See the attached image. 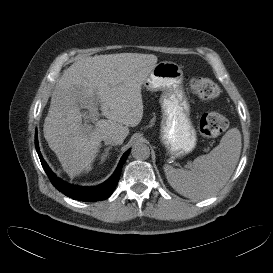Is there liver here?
I'll use <instances>...</instances> for the list:
<instances>
[{
    "mask_svg": "<svg viewBox=\"0 0 273 273\" xmlns=\"http://www.w3.org/2000/svg\"><path fill=\"white\" fill-rule=\"evenodd\" d=\"M157 60L153 54L141 53L95 55L74 62L64 71L52 93L43 131L70 176L92 169L104 138L116 136L123 143L128 127L140 123L141 87ZM98 102L107 119L87 130L80 108L89 110Z\"/></svg>",
    "mask_w": 273,
    "mask_h": 273,
    "instance_id": "1",
    "label": "liver"
}]
</instances>
